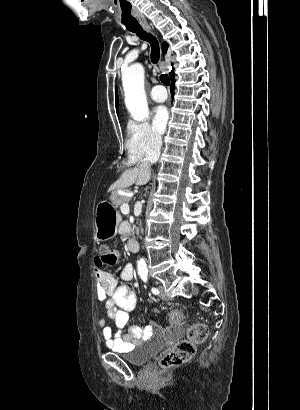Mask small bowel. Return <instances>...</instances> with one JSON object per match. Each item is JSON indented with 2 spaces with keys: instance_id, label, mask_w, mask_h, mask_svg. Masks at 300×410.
I'll use <instances>...</instances> for the list:
<instances>
[{
  "instance_id": "obj_1",
  "label": "small bowel",
  "mask_w": 300,
  "mask_h": 410,
  "mask_svg": "<svg viewBox=\"0 0 300 410\" xmlns=\"http://www.w3.org/2000/svg\"><path fill=\"white\" fill-rule=\"evenodd\" d=\"M95 276L97 297L100 301L105 302L107 317L114 322L115 326V331H113L105 319L99 321L101 336L106 345L116 351H125L152 337L156 330L153 325H146L144 328L127 327L129 312L134 310L137 301L136 293L128 284L132 279L131 266L126 265L122 269L121 283L112 274L102 269H97ZM173 329H176V326Z\"/></svg>"
}]
</instances>
